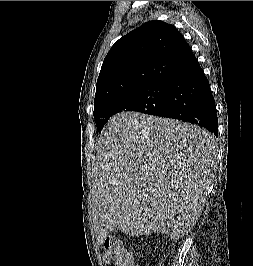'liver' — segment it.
Returning <instances> with one entry per match:
<instances>
[{"instance_id": "1", "label": "liver", "mask_w": 253, "mask_h": 266, "mask_svg": "<svg viewBox=\"0 0 253 266\" xmlns=\"http://www.w3.org/2000/svg\"><path fill=\"white\" fill-rule=\"evenodd\" d=\"M215 144L212 134L190 123L136 112L111 117L94 163L97 245L115 229L173 241L189 233L203 211Z\"/></svg>"}]
</instances>
